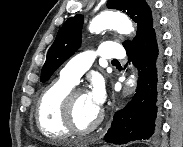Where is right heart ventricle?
Returning a JSON list of instances; mask_svg holds the SVG:
<instances>
[{
    "label": "right heart ventricle",
    "instance_id": "right-heart-ventricle-1",
    "mask_svg": "<svg viewBox=\"0 0 183 147\" xmlns=\"http://www.w3.org/2000/svg\"><path fill=\"white\" fill-rule=\"evenodd\" d=\"M74 84L59 78L50 83L37 102L35 118L40 132L49 139H63L70 135L62 120V102Z\"/></svg>",
    "mask_w": 183,
    "mask_h": 147
}]
</instances>
